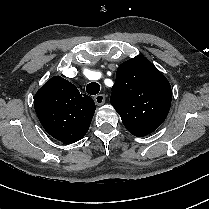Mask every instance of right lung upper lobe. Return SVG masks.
Returning a JSON list of instances; mask_svg holds the SVG:
<instances>
[{"label": "right lung upper lobe", "mask_w": 209, "mask_h": 209, "mask_svg": "<svg viewBox=\"0 0 209 209\" xmlns=\"http://www.w3.org/2000/svg\"><path fill=\"white\" fill-rule=\"evenodd\" d=\"M34 107L43 128L55 139L71 143L84 137L95 112L93 99L69 81L55 76L35 95Z\"/></svg>", "instance_id": "cb5924a9"}]
</instances>
